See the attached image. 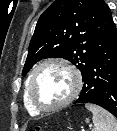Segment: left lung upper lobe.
<instances>
[{
	"label": "left lung upper lobe",
	"instance_id": "1",
	"mask_svg": "<svg viewBox=\"0 0 117 131\" xmlns=\"http://www.w3.org/2000/svg\"><path fill=\"white\" fill-rule=\"evenodd\" d=\"M112 23L104 0H56L40 16L22 75L45 58H64L85 74L104 47Z\"/></svg>",
	"mask_w": 117,
	"mask_h": 131
}]
</instances>
